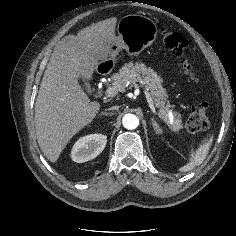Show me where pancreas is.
I'll return each instance as SVG.
<instances>
[{
    "label": "pancreas",
    "instance_id": "cf45deb5",
    "mask_svg": "<svg viewBox=\"0 0 236 236\" xmlns=\"http://www.w3.org/2000/svg\"><path fill=\"white\" fill-rule=\"evenodd\" d=\"M112 82L120 91H124L129 86L137 87L138 83L144 86L153 96L158 114L169 128L176 133L183 128L181 114L173 110L174 105H170L167 100L166 89L161 84L162 79L144 64L132 62L125 64L112 76Z\"/></svg>",
    "mask_w": 236,
    "mask_h": 236
}]
</instances>
